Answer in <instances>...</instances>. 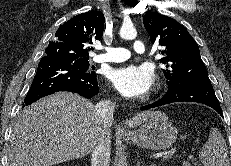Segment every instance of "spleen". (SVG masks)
<instances>
[{"mask_svg":"<svg viewBox=\"0 0 231 166\" xmlns=\"http://www.w3.org/2000/svg\"><path fill=\"white\" fill-rule=\"evenodd\" d=\"M203 166H230L226 142L217 128L210 130L209 139L199 152Z\"/></svg>","mask_w":231,"mask_h":166,"instance_id":"obj_1","label":"spleen"}]
</instances>
